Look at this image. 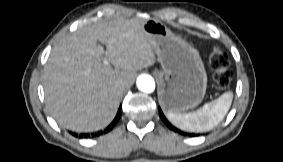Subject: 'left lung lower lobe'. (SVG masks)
I'll return each mask as SVG.
<instances>
[{
	"instance_id": "0a47b994",
	"label": "left lung lower lobe",
	"mask_w": 283,
	"mask_h": 162,
	"mask_svg": "<svg viewBox=\"0 0 283 162\" xmlns=\"http://www.w3.org/2000/svg\"><path fill=\"white\" fill-rule=\"evenodd\" d=\"M159 114H160V117L161 119L166 123V125L171 128V129H174L176 131V129L167 121V119L165 118V116L163 115L161 109L159 108Z\"/></svg>"
}]
</instances>
